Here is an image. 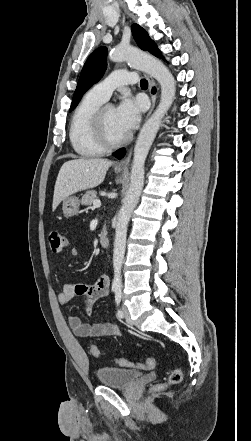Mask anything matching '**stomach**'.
<instances>
[{"label": "stomach", "instance_id": "1", "mask_svg": "<svg viewBox=\"0 0 251 441\" xmlns=\"http://www.w3.org/2000/svg\"><path fill=\"white\" fill-rule=\"evenodd\" d=\"M116 173H120L121 170L115 169ZM80 201L76 196H68L62 200V211L64 216L72 217L79 211Z\"/></svg>", "mask_w": 251, "mask_h": 441}]
</instances>
